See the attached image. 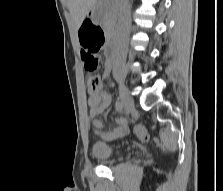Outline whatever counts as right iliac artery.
I'll return each mask as SVG.
<instances>
[{
  "mask_svg": "<svg viewBox=\"0 0 223 191\" xmlns=\"http://www.w3.org/2000/svg\"><path fill=\"white\" fill-rule=\"evenodd\" d=\"M116 108L121 111L124 108V103L120 100L116 102Z\"/></svg>",
  "mask_w": 223,
  "mask_h": 191,
  "instance_id": "1",
  "label": "right iliac artery"
}]
</instances>
